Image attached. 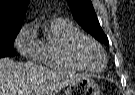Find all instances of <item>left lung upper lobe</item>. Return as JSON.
Here are the masks:
<instances>
[{
	"instance_id": "left-lung-upper-lobe-1",
	"label": "left lung upper lobe",
	"mask_w": 135,
	"mask_h": 95,
	"mask_svg": "<svg viewBox=\"0 0 135 95\" xmlns=\"http://www.w3.org/2000/svg\"><path fill=\"white\" fill-rule=\"evenodd\" d=\"M72 15L78 24L98 41L109 45V41L100 27L91 0H67Z\"/></svg>"
}]
</instances>
